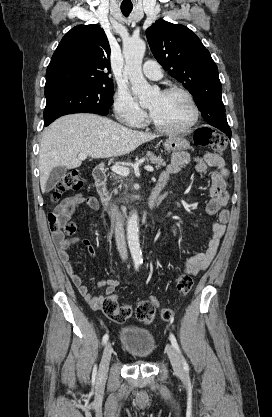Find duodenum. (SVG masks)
Here are the masks:
<instances>
[{"label": "duodenum", "mask_w": 272, "mask_h": 417, "mask_svg": "<svg viewBox=\"0 0 272 417\" xmlns=\"http://www.w3.org/2000/svg\"><path fill=\"white\" fill-rule=\"evenodd\" d=\"M93 178L94 183L100 197L101 202L105 206V208H110V195L106 187V180H107V167L103 165H99L93 171ZM166 184L164 182H158L155 188L152 190L150 195L145 201V205L148 208H153L159 202L161 193L164 189Z\"/></svg>", "instance_id": "duodenum-1"}]
</instances>
